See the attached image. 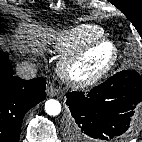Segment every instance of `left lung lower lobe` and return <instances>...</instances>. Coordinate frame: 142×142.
I'll use <instances>...</instances> for the list:
<instances>
[{
	"mask_svg": "<svg viewBox=\"0 0 142 142\" xmlns=\"http://www.w3.org/2000/svg\"><path fill=\"white\" fill-rule=\"evenodd\" d=\"M73 123V142H124L131 132V121L142 101V77L124 70L93 88L87 95H67Z\"/></svg>",
	"mask_w": 142,
	"mask_h": 142,
	"instance_id": "0a47b994",
	"label": "left lung lower lobe"
}]
</instances>
